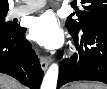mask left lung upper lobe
Masks as SVG:
<instances>
[{
	"mask_svg": "<svg viewBox=\"0 0 107 89\" xmlns=\"http://www.w3.org/2000/svg\"><path fill=\"white\" fill-rule=\"evenodd\" d=\"M85 10H78L72 15H76V19L69 17L66 25L77 31L84 26L93 22H107V0H81Z\"/></svg>",
	"mask_w": 107,
	"mask_h": 89,
	"instance_id": "left-lung-upper-lobe-1",
	"label": "left lung upper lobe"
}]
</instances>
